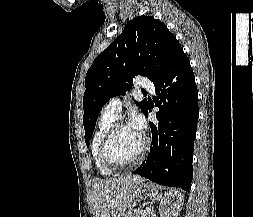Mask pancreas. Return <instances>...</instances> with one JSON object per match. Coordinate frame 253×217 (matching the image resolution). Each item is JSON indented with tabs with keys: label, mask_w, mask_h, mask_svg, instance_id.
Here are the masks:
<instances>
[{
	"label": "pancreas",
	"mask_w": 253,
	"mask_h": 217,
	"mask_svg": "<svg viewBox=\"0 0 253 217\" xmlns=\"http://www.w3.org/2000/svg\"><path fill=\"white\" fill-rule=\"evenodd\" d=\"M141 212H142L141 209H135L133 211H129L126 217H141ZM146 217H150V216H146Z\"/></svg>",
	"instance_id": "cf45deb5"
}]
</instances>
